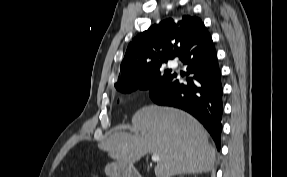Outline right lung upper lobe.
<instances>
[{
  "mask_svg": "<svg viewBox=\"0 0 287 177\" xmlns=\"http://www.w3.org/2000/svg\"><path fill=\"white\" fill-rule=\"evenodd\" d=\"M195 16L166 19L138 34L128 45L115 87L136 83L158 64L180 55L184 46L204 31Z\"/></svg>",
  "mask_w": 287,
  "mask_h": 177,
  "instance_id": "right-lung-upper-lobe-1",
  "label": "right lung upper lobe"
}]
</instances>
